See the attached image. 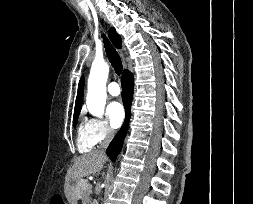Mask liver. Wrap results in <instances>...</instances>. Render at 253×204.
Listing matches in <instances>:
<instances>
[{
  "label": "liver",
  "instance_id": "obj_1",
  "mask_svg": "<svg viewBox=\"0 0 253 204\" xmlns=\"http://www.w3.org/2000/svg\"><path fill=\"white\" fill-rule=\"evenodd\" d=\"M107 156L99 150L90 151L74 160L68 169L65 182L66 196L71 204H76V184L82 177L94 175L101 171Z\"/></svg>",
  "mask_w": 253,
  "mask_h": 204
}]
</instances>
